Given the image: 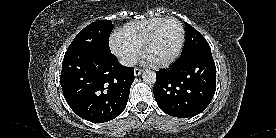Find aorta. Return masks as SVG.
<instances>
[{
  "label": "aorta",
  "mask_w": 276,
  "mask_h": 138,
  "mask_svg": "<svg viewBox=\"0 0 276 138\" xmlns=\"http://www.w3.org/2000/svg\"><path fill=\"white\" fill-rule=\"evenodd\" d=\"M142 79L146 84H154L156 82V73L151 70H146L142 74Z\"/></svg>",
  "instance_id": "obj_1"
}]
</instances>
